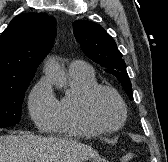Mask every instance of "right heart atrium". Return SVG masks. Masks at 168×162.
I'll return each mask as SVG.
<instances>
[{
    "label": "right heart atrium",
    "instance_id": "d8ad5b80",
    "mask_svg": "<svg viewBox=\"0 0 168 162\" xmlns=\"http://www.w3.org/2000/svg\"><path fill=\"white\" fill-rule=\"evenodd\" d=\"M29 113L41 130L53 127L58 117V100L53 94L49 79H40L30 92L28 99Z\"/></svg>",
    "mask_w": 168,
    "mask_h": 162
}]
</instances>
